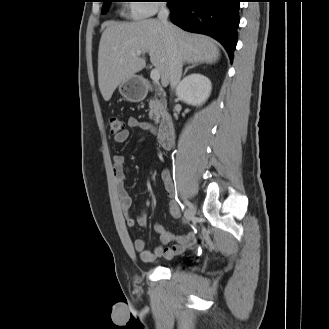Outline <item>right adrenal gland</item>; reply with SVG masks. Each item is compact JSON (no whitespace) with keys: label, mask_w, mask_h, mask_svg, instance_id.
Listing matches in <instances>:
<instances>
[{"label":"right adrenal gland","mask_w":329,"mask_h":329,"mask_svg":"<svg viewBox=\"0 0 329 329\" xmlns=\"http://www.w3.org/2000/svg\"><path fill=\"white\" fill-rule=\"evenodd\" d=\"M200 64H192L191 66H188V67H186L185 68V71H184V73H183V76H185L186 75V73L188 72V70L189 69H192V68H195L196 66H199Z\"/></svg>","instance_id":"2a0ac1e0"}]
</instances>
